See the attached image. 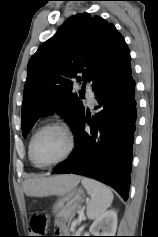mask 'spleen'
<instances>
[{"mask_svg":"<svg viewBox=\"0 0 158 237\" xmlns=\"http://www.w3.org/2000/svg\"><path fill=\"white\" fill-rule=\"evenodd\" d=\"M81 183L91 197L87 203V217L98 219L111 206L113 193L109 187L91 178L83 177Z\"/></svg>","mask_w":158,"mask_h":237,"instance_id":"1","label":"spleen"}]
</instances>
